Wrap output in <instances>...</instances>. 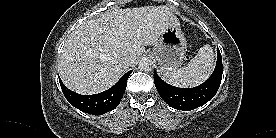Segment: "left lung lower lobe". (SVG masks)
I'll return each mask as SVG.
<instances>
[{
    "mask_svg": "<svg viewBox=\"0 0 276 138\" xmlns=\"http://www.w3.org/2000/svg\"><path fill=\"white\" fill-rule=\"evenodd\" d=\"M222 57L217 48L214 72L203 84L194 88H178L160 79L154 72V82L161 98L172 108L190 111L211 100L217 93L222 79Z\"/></svg>",
    "mask_w": 276,
    "mask_h": 138,
    "instance_id": "obj_1",
    "label": "left lung lower lobe"
}]
</instances>
